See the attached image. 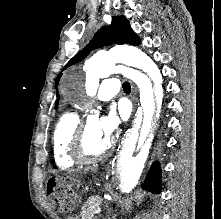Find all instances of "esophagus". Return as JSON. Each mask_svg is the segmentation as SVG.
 Wrapping results in <instances>:
<instances>
[{"label": "esophagus", "instance_id": "1", "mask_svg": "<svg viewBox=\"0 0 221 219\" xmlns=\"http://www.w3.org/2000/svg\"><path fill=\"white\" fill-rule=\"evenodd\" d=\"M135 90H133V101H135Z\"/></svg>", "mask_w": 221, "mask_h": 219}]
</instances>
